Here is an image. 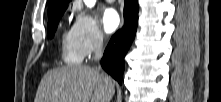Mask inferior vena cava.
<instances>
[{"label": "inferior vena cava", "instance_id": "602c4592", "mask_svg": "<svg viewBox=\"0 0 221 102\" xmlns=\"http://www.w3.org/2000/svg\"><path fill=\"white\" fill-rule=\"evenodd\" d=\"M94 54H95L94 58L98 62V69H100L101 68L100 60L103 56V36L100 33H97L95 35Z\"/></svg>", "mask_w": 221, "mask_h": 102}]
</instances>
